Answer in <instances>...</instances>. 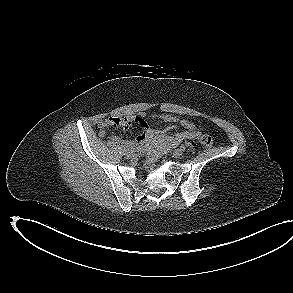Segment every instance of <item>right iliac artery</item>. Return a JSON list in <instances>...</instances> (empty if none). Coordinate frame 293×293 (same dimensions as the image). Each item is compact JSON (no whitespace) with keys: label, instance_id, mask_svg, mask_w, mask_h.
<instances>
[{"label":"right iliac artery","instance_id":"right-iliac-artery-1","mask_svg":"<svg viewBox=\"0 0 293 293\" xmlns=\"http://www.w3.org/2000/svg\"><path fill=\"white\" fill-rule=\"evenodd\" d=\"M135 148H134V146H122L121 147V150L123 151V152H126V151H128V150H134Z\"/></svg>","mask_w":293,"mask_h":293}]
</instances>
